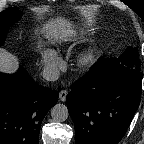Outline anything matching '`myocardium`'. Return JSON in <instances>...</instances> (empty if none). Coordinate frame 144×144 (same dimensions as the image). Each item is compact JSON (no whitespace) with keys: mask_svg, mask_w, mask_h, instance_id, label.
Here are the masks:
<instances>
[{"mask_svg":"<svg viewBox=\"0 0 144 144\" xmlns=\"http://www.w3.org/2000/svg\"><path fill=\"white\" fill-rule=\"evenodd\" d=\"M99 56V47L97 45H90L79 53L76 65L81 71H88L95 66Z\"/></svg>","mask_w":144,"mask_h":144,"instance_id":"obj_1","label":"myocardium"}]
</instances>
